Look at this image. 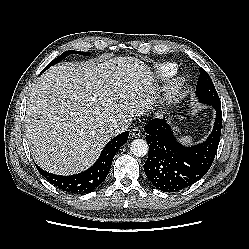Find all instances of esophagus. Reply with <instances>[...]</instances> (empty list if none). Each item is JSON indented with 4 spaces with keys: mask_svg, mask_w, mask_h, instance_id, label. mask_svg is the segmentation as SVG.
<instances>
[{
    "mask_svg": "<svg viewBox=\"0 0 249 249\" xmlns=\"http://www.w3.org/2000/svg\"><path fill=\"white\" fill-rule=\"evenodd\" d=\"M141 130L138 127H135L131 130V136L134 138H138L141 136Z\"/></svg>",
    "mask_w": 249,
    "mask_h": 249,
    "instance_id": "obj_1",
    "label": "esophagus"
}]
</instances>
